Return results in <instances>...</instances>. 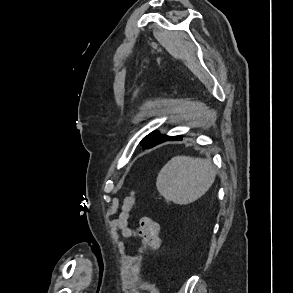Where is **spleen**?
Returning <instances> with one entry per match:
<instances>
[{
    "label": "spleen",
    "mask_w": 293,
    "mask_h": 293,
    "mask_svg": "<svg viewBox=\"0 0 293 293\" xmlns=\"http://www.w3.org/2000/svg\"><path fill=\"white\" fill-rule=\"evenodd\" d=\"M216 170L210 160L175 156L158 174L156 187L167 201L190 204L203 196L214 183Z\"/></svg>",
    "instance_id": "spleen-1"
}]
</instances>
